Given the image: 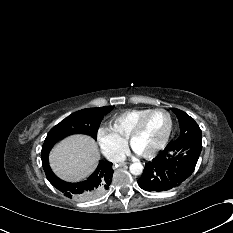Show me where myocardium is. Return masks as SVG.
I'll return each instance as SVG.
<instances>
[{
    "label": "myocardium",
    "mask_w": 233,
    "mask_h": 233,
    "mask_svg": "<svg viewBox=\"0 0 233 233\" xmlns=\"http://www.w3.org/2000/svg\"><path fill=\"white\" fill-rule=\"evenodd\" d=\"M156 112H164L167 114L168 116V119H169V125H168V129H167V132L165 134V136L163 137V139L161 140V142L155 146L153 149H151L150 151L148 152H145V153H138L139 155H141L142 157H146V158H149V157H152L154 156L158 151H160L168 142L169 138H170V135H171V132H172V127H173V117H172V114L170 113V111H168L167 109H164V108H155V109H150L147 113H145L137 122L136 124L134 125V127L132 128L131 132L129 133L128 135V138H127V144L133 149V141L134 139L139 135V133L142 131V128L146 122V120L148 119V117L150 115H152L153 113H156Z\"/></svg>",
    "instance_id": "obj_1"
}]
</instances>
